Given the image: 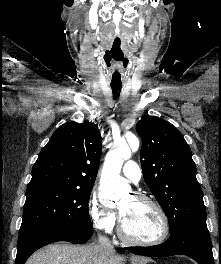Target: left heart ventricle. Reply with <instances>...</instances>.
Here are the masks:
<instances>
[{"label": "left heart ventricle", "mask_w": 221, "mask_h": 264, "mask_svg": "<svg viewBox=\"0 0 221 264\" xmlns=\"http://www.w3.org/2000/svg\"><path fill=\"white\" fill-rule=\"evenodd\" d=\"M118 209L124 228L131 237L142 241H152L161 235L162 221L152 205L129 197L120 204Z\"/></svg>", "instance_id": "left-heart-ventricle-1"}]
</instances>
